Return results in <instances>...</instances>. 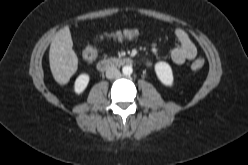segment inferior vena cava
I'll use <instances>...</instances> for the list:
<instances>
[{"label":"inferior vena cava","mask_w":248,"mask_h":165,"mask_svg":"<svg viewBox=\"0 0 248 165\" xmlns=\"http://www.w3.org/2000/svg\"><path fill=\"white\" fill-rule=\"evenodd\" d=\"M120 76V71L116 67H109L106 70V77L108 79L117 78Z\"/></svg>","instance_id":"obj_1"}]
</instances>
